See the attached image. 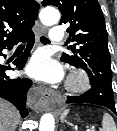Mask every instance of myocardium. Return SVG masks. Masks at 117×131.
I'll list each match as a JSON object with an SVG mask.
<instances>
[{"label": "myocardium", "instance_id": "obj_1", "mask_svg": "<svg viewBox=\"0 0 117 131\" xmlns=\"http://www.w3.org/2000/svg\"><path fill=\"white\" fill-rule=\"evenodd\" d=\"M90 87L88 75L82 70H74L66 81V89L71 93H82Z\"/></svg>", "mask_w": 117, "mask_h": 131}]
</instances>
